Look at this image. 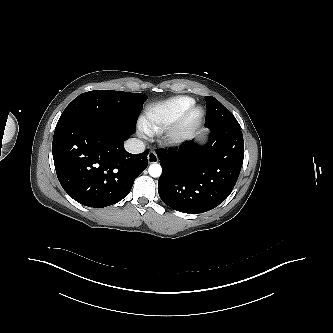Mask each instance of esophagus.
Returning a JSON list of instances; mask_svg holds the SVG:
<instances>
[{"instance_id": "obj_1", "label": "esophagus", "mask_w": 333, "mask_h": 333, "mask_svg": "<svg viewBox=\"0 0 333 333\" xmlns=\"http://www.w3.org/2000/svg\"><path fill=\"white\" fill-rule=\"evenodd\" d=\"M147 159L150 164L157 163L159 161V158L154 151L149 152Z\"/></svg>"}]
</instances>
